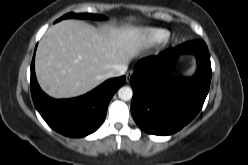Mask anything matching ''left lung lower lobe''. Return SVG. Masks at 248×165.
<instances>
[{
	"label": "left lung lower lobe",
	"mask_w": 248,
	"mask_h": 165,
	"mask_svg": "<svg viewBox=\"0 0 248 165\" xmlns=\"http://www.w3.org/2000/svg\"><path fill=\"white\" fill-rule=\"evenodd\" d=\"M197 58L191 78L174 79L172 61L181 54ZM211 63L203 40H193L141 59L130 78L133 88L131 113L137 125L154 135H170L188 124L201 110L211 81Z\"/></svg>",
	"instance_id": "1"
}]
</instances>
